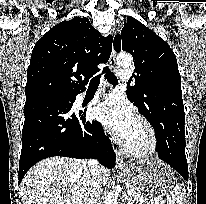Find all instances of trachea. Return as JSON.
I'll use <instances>...</instances> for the list:
<instances>
[{
	"label": "trachea",
	"instance_id": "1",
	"mask_svg": "<svg viewBox=\"0 0 206 204\" xmlns=\"http://www.w3.org/2000/svg\"><path fill=\"white\" fill-rule=\"evenodd\" d=\"M102 74L105 75V77H106V79L108 80L109 83H111V84L118 83V80H117L116 76L113 74V72L109 69L108 66L103 68ZM100 78H101V74L93 77L90 81L89 87L90 88L98 87V85L100 83Z\"/></svg>",
	"mask_w": 206,
	"mask_h": 204
}]
</instances>
